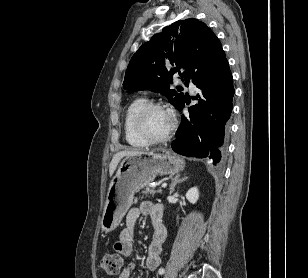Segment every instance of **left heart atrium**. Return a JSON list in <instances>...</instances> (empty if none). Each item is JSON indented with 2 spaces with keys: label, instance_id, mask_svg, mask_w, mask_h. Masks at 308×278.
<instances>
[{
  "label": "left heart atrium",
  "instance_id": "39dd6f15",
  "mask_svg": "<svg viewBox=\"0 0 308 278\" xmlns=\"http://www.w3.org/2000/svg\"><path fill=\"white\" fill-rule=\"evenodd\" d=\"M167 113H168V115H169V118L171 119V113H170V112H168V111H167Z\"/></svg>",
  "mask_w": 308,
  "mask_h": 278
}]
</instances>
